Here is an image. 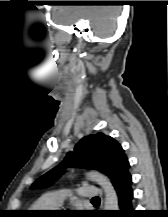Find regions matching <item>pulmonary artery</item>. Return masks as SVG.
<instances>
[{
  "label": "pulmonary artery",
  "mask_w": 168,
  "mask_h": 217,
  "mask_svg": "<svg viewBox=\"0 0 168 217\" xmlns=\"http://www.w3.org/2000/svg\"><path fill=\"white\" fill-rule=\"evenodd\" d=\"M65 196H66V191L56 190L47 193L43 197V201L55 209L64 203ZM100 196H102V189L100 187L84 186L79 189V198L81 199L90 200Z\"/></svg>",
  "instance_id": "e3ab8cb5"
}]
</instances>
